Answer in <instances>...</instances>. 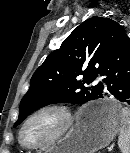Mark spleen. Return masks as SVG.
Masks as SVG:
<instances>
[{
  "label": "spleen",
  "instance_id": "3e777b00",
  "mask_svg": "<svg viewBox=\"0 0 130 153\" xmlns=\"http://www.w3.org/2000/svg\"><path fill=\"white\" fill-rule=\"evenodd\" d=\"M122 125L119 129L118 146L122 153H130V110L121 108Z\"/></svg>",
  "mask_w": 130,
  "mask_h": 153
}]
</instances>
